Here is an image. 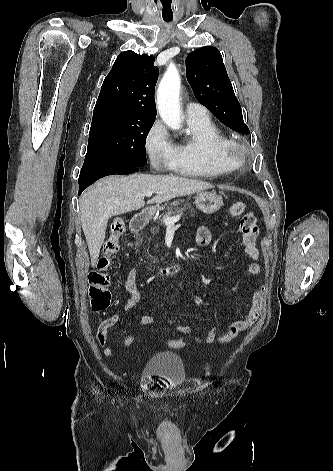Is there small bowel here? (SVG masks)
<instances>
[{
    "mask_svg": "<svg viewBox=\"0 0 333 471\" xmlns=\"http://www.w3.org/2000/svg\"><path fill=\"white\" fill-rule=\"evenodd\" d=\"M239 231L243 235V245L246 254L248 257L256 261L259 258V250L256 245L258 229L255 223V219L251 214H247L244 216L239 225ZM196 242L199 246H207L211 242V232L205 226H200L197 229ZM261 272L260 265L256 262H252L248 266V273L252 276L259 275ZM125 289L130 293V298L125 305V311L130 310L141 298V292L137 288L136 284V268H131L128 272V275L125 279L124 283ZM265 294L266 290L265 287L262 286L254 290L250 304L247 308L245 315L230 324L228 330L222 334L218 335V331L216 327H212L208 330L206 335L203 339H198L195 337L188 336L187 340L191 343L199 344V345H209L212 344L215 340L220 343H228L236 338L241 332L250 328L259 318L261 311L263 309L265 303ZM119 321L118 315H113L110 318L103 321L96 334V338L98 343L101 347L104 348V355L110 357L114 354V349L111 347H107V334L111 327H113ZM141 324L142 325H152L155 323V318L151 315H143L141 317ZM167 322L173 325L174 329L185 335H189L192 331L191 326L183 320L179 319H168Z\"/></svg>",
    "mask_w": 333,
    "mask_h": 471,
    "instance_id": "obj_1",
    "label": "small bowel"
}]
</instances>
